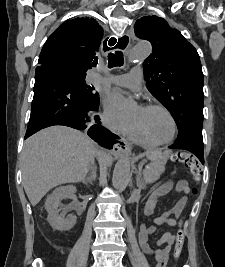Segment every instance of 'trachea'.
I'll use <instances>...</instances> for the list:
<instances>
[{
    "instance_id": "1",
    "label": "trachea",
    "mask_w": 225,
    "mask_h": 267,
    "mask_svg": "<svg viewBox=\"0 0 225 267\" xmlns=\"http://www.w3.org/2000/svg\"><path fill=\"white\" fill-rule=\"evenodd\" d=\"M115 43H116L115 38H111L109 40V45L113 46ZM123 63H124V58H123V53L121 51H116L115 53L108 54V66L110 68H113L115 66H122ZM94 66H96V64Z\"/></svg>"
}]
</instances>
